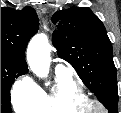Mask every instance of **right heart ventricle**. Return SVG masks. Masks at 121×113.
Here are the masks:
<instances>
[{
    "instance_id": "right-heart-ventricle-1",
    "label": "right heart ventricle",
    "mask_w": 121,
    "mask_h": 113,
    "mask_svg": "<svg viewBox=\"0 0 121 113\" xmlns=\"http://www.w3.org/2000/svg\"><path fill=\"white\" fill-rule=\"evenodd\" d=\"M86 98L70 73H56V82L49 90L36 89L34 99L18 104L19 113H59L63 109H77Z\"/></svg>"
}]
</instances>
